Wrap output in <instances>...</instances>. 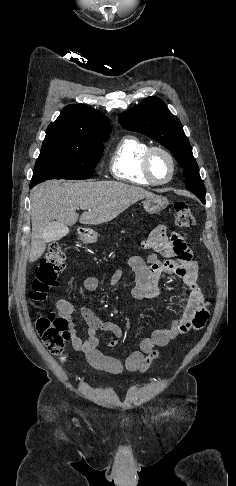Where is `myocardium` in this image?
Instances as JSON below:
<instances>
[{
	"mask_svg": "<svg viewBox=\"0 0 236 486\" xmlns=\"http://www.w3.org/2000/svg\"><path fill=\"white\" fill-rule=\"evenodd\" d=\"M156 152H159V153H162L163 155H165L166 158L168 159L169 163H170V168H171L170 174H169L168 178H166L165 180L155 179L154 176L151 173V170H150V160H151L152 155ZM175 172H176V163H175L174 157L167 149H165L163 147H159V146H150L145 151V153L142 157V173L150 184H152V185H165L173 179Z\"/></svg>",
	"mask_w": 236,
	"mask_h": 486,
	"instance_id": "myocardium-1",
	"label": "myocardium"
}]
</instances>
